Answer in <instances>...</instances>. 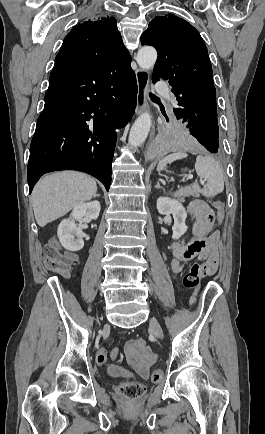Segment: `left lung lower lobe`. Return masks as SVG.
Listing matches in <instances>:
<instances>
[{"label":"left lung lower lobe","instance_id":"1","mask_svg":"<svg viewBox=\"0 0 265 434\" xmlns=\"http://www.w3.org/2000/svg\"><path fill=\"white\" fill-rule=\"evenodd\" d=\"M190 131L191 135L201 144L202 149L210 153H217L221 150L218 128H190ZM167 147H169V145H167Z\"/></svg>","mask_w":265,"mask_h":434}]
</instances>
